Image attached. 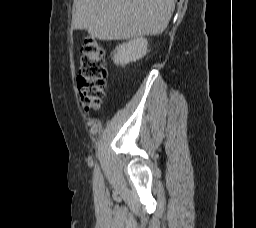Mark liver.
I'll list each match as a JSON object with an SVG mask.
<instances>
[{"label":"liver","mask_w":256,"mask_h":228,"mask_svg":"<svg viewBox=\"0 0 256 228\" xmlns=\"http://www.w3.org/2000/svg\"><path fill=\"white\" fill-rule=\"evenodd\" d=\"M74 4L73 27L107 41L159 35L175 8V0H74Z\"/></svg>","instance_id":"1"}]
</instances>
